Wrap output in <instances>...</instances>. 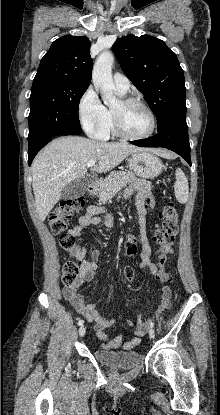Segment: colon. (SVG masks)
Wrapping results in <instances>:
<instances>
[{
    "mask_svg": "<svg viewBox=\"0 0 220 415\" xmlns=\"http://www.w3.org/2000/svg\"><path fill=\"white\" fill-rule=\"evenodd\" d=\"M85 205L83 197H76L62 201L50 214L48 225L51 232L60 236L61 247L77 257L78 244L76 238L69 234L72 216L82 209ZM161 227L155 232V254L158 260L157 278L161 284L162 296L158 307V312H164L172 306V292L168 284L170 275L166 271V262L172 253V247L178 232V213L173 204H166L161 211ZM137 251L136 243L125 244V253L133 256ZM78 260L68 259L62 270V282L64 285H73L79 274ZM124 278L127 282H131L134 278L133 271L129 268L124 270Z\"/></svg>",
    "mask_w": 220,
    "mask_h": 415,
    "instance_id": "colon-1",
    "label": "colon"
}]
</instances>
